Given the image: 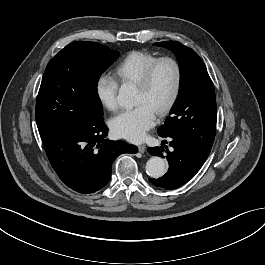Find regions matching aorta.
I'll use <instances>...</instances> for the list:
<instances>
[{
    "instance_id": "aorta-1",
    "label": "aorta",
    "mask_w": 265,
    "mask_h": 265,
    "mask_svg": "<svg viewBox=\"0 0 265 265\" xmlns=\"http://www.w3.org/2000/svg\"><path fill=\"white\" fill-rule=\"evenodd\" d=\"M135 89L131 85L123 84L118 92L117 101L123 107L134 105ZM146 173L152 178H160L166 171V164L161 157H151L145 166Z\"/></svg>"
}]
</instances>
